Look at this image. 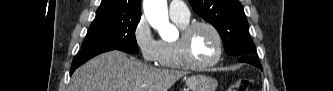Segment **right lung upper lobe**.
Listing matches in <instances>:
<instances>
[{"mask_svg": "<svg viewBox=\"0 0 333 91\" xmlns=\"http://www.w3.org/2000/svg\"><path fill=\"white\" fill-rule=\"evenodd\" d=\"M141 0H102L96 17L141 15Z\"/></svg>", "mask_w": 333, "mask_h": 91, "instance_id": "cb5924a9", "label": "right lung upper lobe"}]
</instances>
